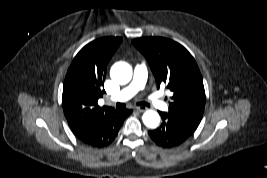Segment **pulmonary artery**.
Instances as JSON below:
<instances>
[{"label":"pulmonary artery","instance_id":"pulmonary-artery-1","mask_svg":"<svg viewBox=\"0 0 267 178\" xmlns=\"http://www.w3.org/2000/svg\"><path fill=\"white\" fill-rule=\"evenodd\" d=\"M147 81V67L145 64H137L134 68L133 79L129 85L123 88L118 94L111 97V101L124 102L132 98L139 90L143 89ZM151 105L164 109L166 104L153 95L147 96Z\"/></svg>","mask_w":267,"mask_h":178}]
</instances>
